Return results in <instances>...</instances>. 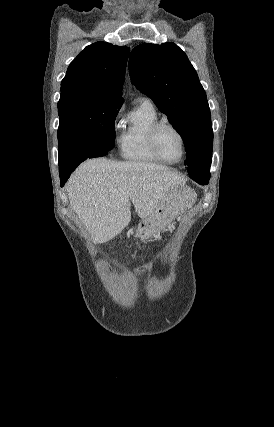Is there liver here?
Wrapping results in <instances>:
<instances>
[{"instance_id":"6515ba94","label":"liver","mask_w":274,"mask_h":427,"mask_svg":"<svg viewBox=\"0 0 274 427\" xmlns=\"http://www.w3.org/2000/svg\"><path fill=\"white\" fill-rule=\"evenodd\" d=\"M185 178L166 166L146 162H115L107 158L86 160L71 174L66 188L75 214L82 219L93 243H103L121 233L135 212L145 219L162 202L182 204ZM191 194V192H190Z\"/></svg>"}]
</instances>
